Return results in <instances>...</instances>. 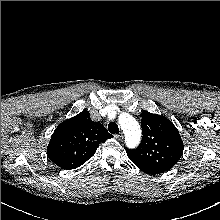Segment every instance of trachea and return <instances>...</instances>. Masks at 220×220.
Segmentation results:
<instances>
[{
    "label": "trachea",
    "mask_w": 220,
    "mask_h": 220,
    "mask_svg": "<svg viewBox=\"0 0 220 220\" xmlns=\"http://www.w3.org/2000/svg\"><path fill=\"white\" fill-rule=\"evenodd\" d=\"M108 130L110 133H118L119 132V127L116 123L112 122L108 125Z\"/></svg>",
    "instance_id": "3493384b"
}]
</instances>
